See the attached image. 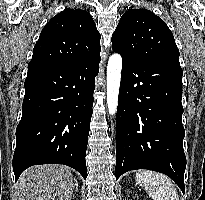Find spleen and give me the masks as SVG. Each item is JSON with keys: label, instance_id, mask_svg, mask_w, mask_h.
Masks as SVG:
<instances>
[{"label": "spleen", "instance_id": "3e777b00", "mask_svg": "<svg viewBox=\"0 0 205 200\" xmlns=\"http://www.w3.org/2000/svg\"><path fill=\"white\" fill-rule=\"evenodd\" d=\"M136 182L153 200H179L175 184L162 173L140 170L136 173Z\"/></svg>", "mask_w": 205, "mask_h": 200}]
</instances>
